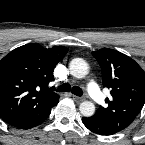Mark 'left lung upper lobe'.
I'll return each mask as SVG.
<instances>
[{"instance_id":"5c2ea615","label":"left lung upper lobe","mask_w":145,"mask_h":145,"mask_svg":"<svg viewBox=\"0 0 145 145\" xmlns=\"http://www.w3.org/2000/svg\"><path fill=\"white\" fill-rule=\"evenodd\" d=\"M102 69L104 87L110 89L106 107L95 113L102 124L122 131L139 114L145 103V72L127 55L108 48L92 52Z\"/></svg>"}]
</instances>
